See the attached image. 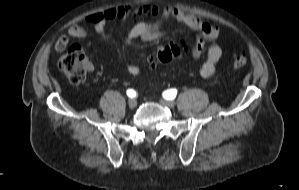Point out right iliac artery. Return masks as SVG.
Listing matches in <instances>:
<instances>
[{
    "mask_svg": "<svg viewBox=\"0 0 299 190\" xmlns=\"http://www.w3.org/2000/svg\"><path fill=\"white\" fill-rule=\"evenodd\" d=\"M126 93L131 98L136 97V95H137L136 91L133 89H128Z\"/></svg>",
    "mask_w": 299,
    "mask_h": 190,
    "instance_id": "obj_1",
    "label": "right iliac artery"
}]
</instances>
